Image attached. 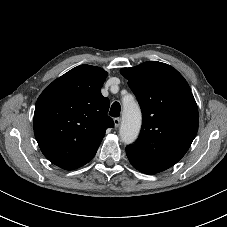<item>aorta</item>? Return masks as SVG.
Listing matches in <instances>:
<instances>
[{
	"instance_id": "aorta-1",
	"label": "aorta",
	"mask_w": 227,
	"mask_h": 227,
	"mask_svg": "<svg viewBox=\"0 0 227 227\" xmlns=\"http://www.w3.org/2000/svg\"><path fill=\"white\" fill-rule=\"evenodd\" d=\"M141 119V111L136 102L124 103L119 131L123 143L131 144L137 139L141 128Z\"/></svg>"
}]
</instances>
